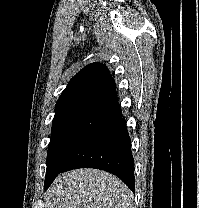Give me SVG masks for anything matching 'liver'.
<instances>
[{
    "label": "liver",
    "instance_id": "liver-1",
    "mask_svg": "<svg viewBox=\"0 0 199 208\" xmlns=\"http://www.w3.org/2000/svg\"><path fill=\"white\" fill-rule=\"evenodd\" d=\"M46 199V208H134L124 183L108 172L90 168L58 175Z\"/></svg>",
    "mask_w": 199,
    "mask_h": 208
}]
</instances>
